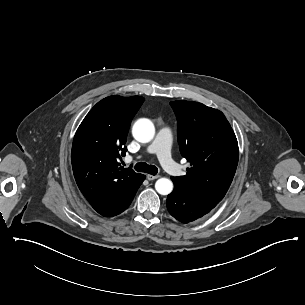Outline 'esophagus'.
I'll return each instance as SVG.
<instances>
[{"mask_svg": "<svg viewBox=\"0 0 305 305\" xmlns=\"http://www.w3.org/2000/svg\"><path fill=\"white\" fill-rule=\"evenodd\" d=\"M159 177H160V175H150V174L147 175L148 180L158 179Z\"/></svg>", "mask_w": 305, "mask_h": 305, "instance_id": "34e87169", "label": "esophagus"}]
</instances>
